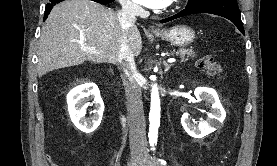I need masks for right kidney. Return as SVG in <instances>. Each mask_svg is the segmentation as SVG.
<instances>
[{
    "mask_svg": "<svg viewBox=\"0 0 277 166\" xmlns=\"http://www.w3.org/2000/svg\"><path fill=\"white\" fill-rule=\"evenodd\" d=\"M67 104L73 124L82 132L91 133L100 125L104 103L95 84L86 83L72 89L67 95ZM92 105H94V110L91 111L93 116L86 119V109Z\"/></svg>",
    "mask_w": 277,
    "mask_h": 166,
    "instance_id": "obj_1",
    "label": "right kidney"
}]
</instances>
